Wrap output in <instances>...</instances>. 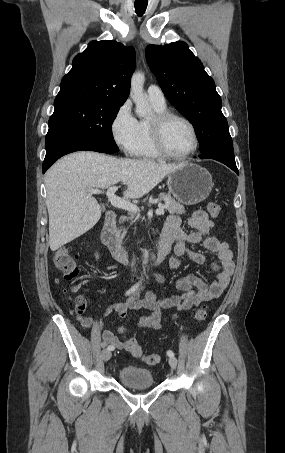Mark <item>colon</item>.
Listing matches in <instances>:
<instances>
[{
    "mask_svg": "<svg viewBox=\"0 0 285 453\" xmlns=\"http://www.w3.org/2000/svg\"><path fill=\"white\" fill-rule=\"evenodd\" d=\"M207 211L212 217H217L221 213V206L216 202L207 203ZM53 265L65 274L68 280L74 279L78 275L77 257L68 249L60 248L53 256ZM207 317V307L201 306L195 313V320L203 322ZM125 350L135 357H140L148 365H156L160 361V356L155 353L143 354L142 348L134 337H127L124 341Z\"/></svg>",
    "mask_w": 285,
    "mask_h": 453,
    "instance_id": "5ec220e1",
    "label": "colon"
}]
</instances>
